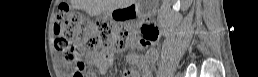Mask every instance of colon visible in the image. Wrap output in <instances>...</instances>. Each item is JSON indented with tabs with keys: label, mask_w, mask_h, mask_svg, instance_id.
Instances as JSON below:
<instances>
[{
	"label": "colon",
	"mask_w": 258,
	"mask_h": 77,
	"mask_svg": "<svg viewBox=\"0 0 258 77\" xmlns=\"http://www.w3.org/2000/svg\"><path fill=\"white\" fill-rule=\"evenodd\" d=\"M55 15L54 33L58 47L71 62H75L78 52L83 49L112 46L120 50L130 46L144 50L149 47L151 38L155 35V28L152 26L134 31L129 25L119 21L104 20L93 24L67 6H59ZM81 72L80 67L76 66L75 74Z\"/></svg>",
	"instance_id": "obj_1"
}]
</instances>
